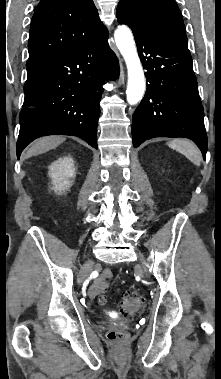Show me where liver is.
<instances>
[{"label": "liver", "instance_id": "1", "mask_svg": "<svg viewBox=\"0 0 221 379\" xmlns=\"http://www.w3.org/2000/svg\"><path fill=\"white\" fill-rule=\"evenodd\" d=\"M65 141L62 136H46L35 140L30 147L24 152L23 158H29L38 154L45 153L58 147Z\"/></svg>", "mask_w": 221, "mask_h": 379}]
</instances>
